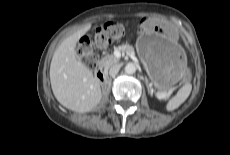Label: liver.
Instances as JSON below:
<instances>
[{
    "label": "liver",
    "instance_id": "1",
    "mask_svg": "<svg viewBox=\"0 0 230 155\" xmlns=\"http://www.w3.org/2000/svg\"><path fill=\"white\" fill-rule=\"evenodd\" d=\"M91 28L86 24L67 37L55 50L50 65V81L57 101L75 112L85 113L96 107L102 98L100 81L77 59L79 39Z\"/></svg>",
    "mask_w": 230,
    "mask_h": 155
}]
</instances>
